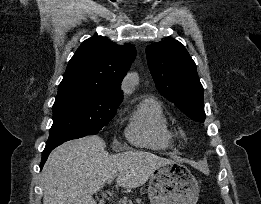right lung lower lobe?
<instances>
[{"instance_id": "right-lung-lower-lobe-1", "label": "right lung lower lobe", "mask_w": 261, "mask_h": 204, "mask_svg": "<svg viewBox=\"0 0 261 204\" xmlns=\"http://www.w3.org/2000/svg\"><path fill=\"white\" fill-rule=\"evenodd\" d=\"M62 143H64V141L46 144V147H45L44 151L42 152V160H41V164H40V169H42V167H43L44 163L46 162L50 152Z\"/></svg>"}]
</instances>
